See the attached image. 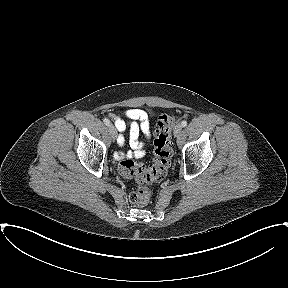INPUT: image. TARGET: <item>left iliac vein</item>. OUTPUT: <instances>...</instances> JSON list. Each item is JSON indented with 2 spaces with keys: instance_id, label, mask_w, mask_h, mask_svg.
Masks as SVG:
<instances>
[{
  "instance_id": "4c4485c4",
  "label": "left iliac vein",
  "mask_w": 288,
  "mask_h": 288,
  "mask_svg": "<svg viewBox=\"0 0 288 288\" xmlns=\"http://www.w3.org/2000/svg\"><path fill=\"white\" fill-rule=\"evenodd\" d=\"M181 132H182V126L180 124H177L174 128V136L175 137L180 136Z\"/></svg>"
}]
</instances>
